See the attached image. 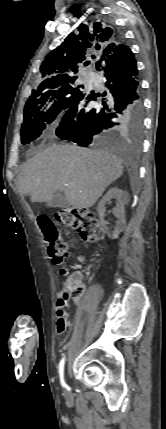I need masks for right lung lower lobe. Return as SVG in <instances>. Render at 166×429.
Listing matches in <instances>:
<instances>
[{"label": "right lung lower lobe", "instance_id": "1", "mask_svg": "<svg viewBox=\"0 0 166 429\" xmlns=\"http://www.w3.org/2000/svg\"><path fill=\"white\" fill-rule=\"evenodd\" d=\"M123 62V63H122ZM103 71L107 91L102 94L81 93L65 111L56 135L86 147L100 142L107 131L130 130L139 135L142 130L143 106L139 74L133 53L127 46L103 55L96 63ZM100 106L92 108V100Z\"/></svg>", "mask_w": 166, "mask_h": 429}]
</instances>
